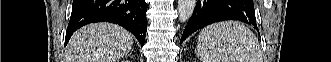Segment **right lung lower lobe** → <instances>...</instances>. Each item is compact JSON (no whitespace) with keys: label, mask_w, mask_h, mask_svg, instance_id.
<instances>
[{"label":"right lung lower lobe","mask_w":331,"mask_h":62,"mask_svg":"<svg viewBox=\"0 0 331 62\" xmlns=\"http://www.w3.org/2000/svg\"><path fill=\"white\" fill-rule=\"evenodd\" d=\"M145 0H74L65 45L80 27L95 22H111L130 31L144 45L147 31Z\"/></svg>","instance_id":"obj_1"}]
</instances>
